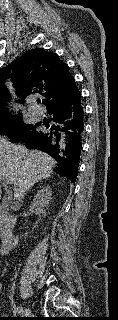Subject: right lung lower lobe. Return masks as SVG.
<instances>
[{
  "mask_svg": "<svg viewBox=\"0 0 118 320\" xmlns=\"http://www.w3.org/2000/svg\"><path fill=\"white\" fill-rule=\"evenodd\" d=\"M47 111L51 116L48 129L37 128L19 141L24 142L27 148L52 156L59 163L55 172L75 183L84 131L81 92L77 88L71 94L53 100L47 104Z\"/></svg>",
  "mask_w": 118,
  "mask_h": 320,
  "instance_id": "obj_1",
  "label": "right lung lower lobe"
}]
</instances>
